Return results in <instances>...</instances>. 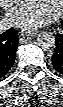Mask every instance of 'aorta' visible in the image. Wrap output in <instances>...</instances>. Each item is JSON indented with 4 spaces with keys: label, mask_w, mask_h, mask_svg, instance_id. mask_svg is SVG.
I'll return each instance as SVG.
<instances>
[{
    "label": "aorta",
    "mask_w": 63,
    "mask_h": 107,
    "mask_svg": "<svg viewBox=\"0 0 63 107\" xmlns=\"http://www.w3.org/2000/svg\"><path fill=\"white\" fill-rule=\"evenodd\" d=\"M55 40L54 34L50 31H41L37 36V44L45 50L54 47Z\"/></svg>",
    "instance_id": "obj_1"
}]
</instances>
